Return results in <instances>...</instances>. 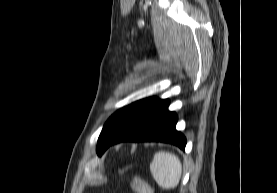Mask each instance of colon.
<instances>
[{"label":"colon","mask_w":277,"mask_h":193,"mask_svg":"<svg viewBox=\"0 0 277 193\" xmlns=\"http://www.w3.org/2000/svg\"><path fill=\"white\" fill-rule=\"evenodd\" d=\"M129 185L135 193H154L150 184L136 175L130 178Z\"/></svg>","instance_id":"5ec220e1"}]
</instances>
